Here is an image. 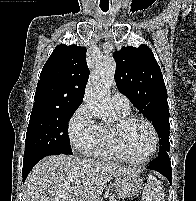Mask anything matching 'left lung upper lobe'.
I'll return each mask as SVG.
<instances>
[{
  "label": "left lung upper lobe",
  "mask_w": 196,
  "mask_h": 201,
  "mask_svg": "<svg viewBox=\"0 0 196 201\" xmlns=\"http://www.w3.org/2000/svg\"><path fill=\"white\" fill-rule=\"evenodd\" d=\"M116 85L155 127L159 135V154L170 151L169 109L162 72L151 49L141 44L115 51Z\"/></svg>",
  "instance_id": "left-lung-upper-lobe-1"
}]
</instances>
